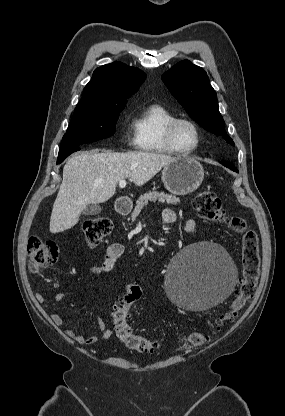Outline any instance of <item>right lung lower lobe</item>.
<instances>
[{
	"mask_svg": "<svg viewBox=\"0 0 285 416\" xmlns=\"http://www.w3.org/2000/svg\"><path fill=\"white\" fill-rule=\"evenodd\" d=\"M80 150L78 146H68L64 148H60L59 155L57 159V164L62 163L66 157H68L71 153Z\"/></svg>",
	"mask_w": 285,
	"mask_h": 416,
	"instance_id": "right-lung-lower-lobe-1",
	"label": "right lung lower lobe"
}]
</instances>
